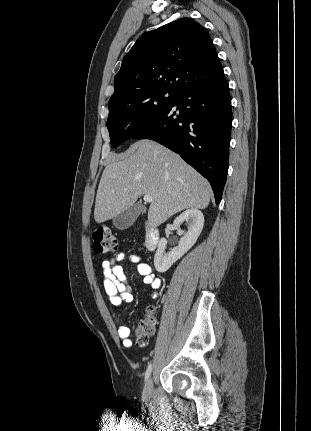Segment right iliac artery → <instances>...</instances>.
I'll use <instances>...</instances> for the list:
<instances>
[{
	"label": "right iliac artery",
	"mask_w": 311,
	"mask_h": 431,
	"mask_svg": "<svg viewBox=\"0 0 311 431\" xmlns=\"http://www.w3.org/2000/svg\"><path fill=\"white\" fill-rule=\"evenodd\" d=\"M151 371H152V364H149V366H148V368L146 370V373H145V381L148 380V378H149V376L151 374Z\"/></svg>",
	"instance_id": "82829eb1"
}]
</instances>
